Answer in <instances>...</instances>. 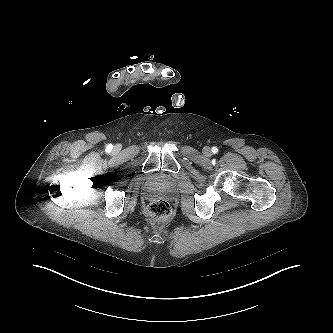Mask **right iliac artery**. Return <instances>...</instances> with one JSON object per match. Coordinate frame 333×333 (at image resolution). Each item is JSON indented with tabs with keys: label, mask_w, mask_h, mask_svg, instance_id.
I'll list each match as a JSON object with an SVG mask.
<instances>
[{
	"label": "right iliac artery",
	"mask_w": 333,
	"mask_h": 333,
	"mask_svg": "<svg viewBox=\"0 0 333 333\" xmlns=\"http://www.w3.org/2000/svg\"><path fill=\"white\" fill-rule=\"evenodd\" d=\"M111 149H112V145H108V146H107V150L110 151Z\"/></svg>",
	"instance_id": "obj_1"
}]
</instances>
